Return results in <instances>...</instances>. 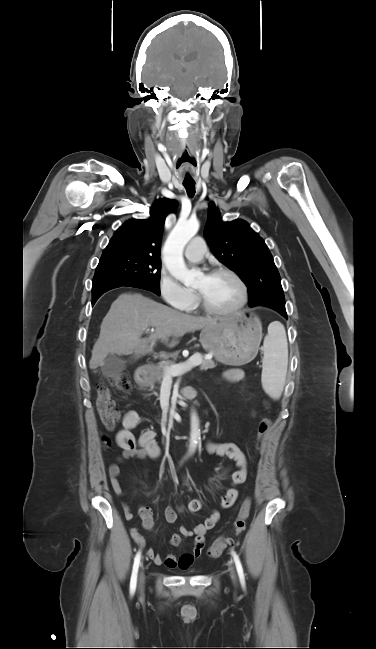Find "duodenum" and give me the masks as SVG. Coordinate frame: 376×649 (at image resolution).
<instances>
[{"mask_svg": "<svg viewBox=\"0 0 376 649\" xmlns=\"http://www.w3.org/2000/svg\"><path fill=\"white\" fill-rule=\"evenodd\" d=\"M148 375H149V368L147 366H141L136 371V382L138 384L146 383V381L148 379ZM183 395L186 396V397H189V398L192 397V395L190 394V391H189L188 388H185L183 390Z\"/></svg>", "mask_w": 376, "mask_h": 649, "instance_id": "1", "label": "duodenum"}]
</instances>
